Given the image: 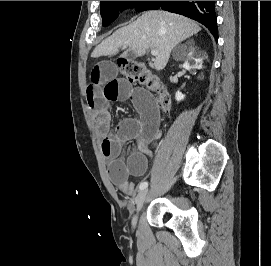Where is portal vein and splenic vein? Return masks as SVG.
Here are the masks:
<instances>
[{
    "instance_id": "18ae733b",
    "label": "portal vein and splenic vein",
    "mask_w": 271,
    "mask_h": 266,
    "mask_svg": "<svg viewBox=\"0 0 271 266\" xmlns=\"http://www.w3.org/2000/svg\"><path fill=\"white\" fill-rule=\"evenodd\" d=\"M151 54H152L153 56H157V55H158V51L155 50V49H153V50L151 51Z\"/></svg>"
}]
</instances>
